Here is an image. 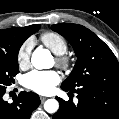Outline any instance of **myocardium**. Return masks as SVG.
<instances>
[{
	"label": "myocardium",
	"instance_id": "myocardium-1",
	"mask_svg": "<svg viewBox=\"0 0 119 119\" xmlns=\"http://www.w3.org/2000/svg\"><path fill=\"white\" fill-rule=\"evenodd\" d=\"M56 64L58 67L64 70H68L71 66V61L68 56H66L65 54H62V55H57Z\"/></svg>",
	"mask_w": 119,
	"mask_h": 119
}]
</instances>
